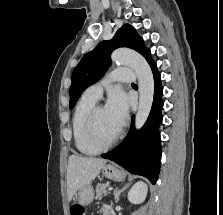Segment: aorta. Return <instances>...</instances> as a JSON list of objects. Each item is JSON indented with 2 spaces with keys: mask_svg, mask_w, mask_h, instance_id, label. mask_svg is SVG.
<instances>
[{
  "mask_svg": "<svg viewBox=\"0 0 223 215\" xmlns=\"http://www.w3.org/2000/svg\"><path fill=\"white\" fill-rule=\"evenodd\" d=\"M113 62L132 68L139 82V108L135 117V125L140 129L144 125L153 104L154 78L149 64L138 52L119 48L112 54Z\"/></svg>",
  "mask_w": 223,
  "mask_h": 215,
  "instance_id": "aorta-1",
  "label": "aorta"
}]
</instances>
